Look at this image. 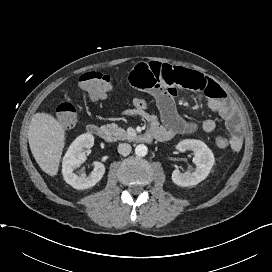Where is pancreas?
I'll list each match as a JSON object with an SVG mask.
<instances>
[{
    "mask_svg": "<svg viewBox=\"0 0 272 272\" xmlns=\"http://www.w3.org/2000/svg\"><path fill=\"white\" fill-rule=\"evenodd\" d=\"M109 138L113 141L117 140H131V136L127 131L117 124H107L103 126Z\"/></svg>",
    "mask_w": 272,
    "mask_h": 272,
    "instance_id": "cf45deb5",
    "label": "pancreas"
}]
</instances>
